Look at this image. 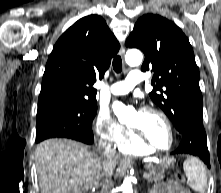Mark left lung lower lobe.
<instances>
[{
    "mask_svg": "<svg viewBox=\"0 0 221 193\" xmlns=\"http://www.w3.org/2000/svg\"><path fill=\"white\" fill-rule=\"evenodd\" d=\"M181 134L182 140L176 149V153L196 156L210 167L202 110L194 112V120L189 124L188 129L184 130Z\"/></svg>",
    "mask_w": 221,
    "mask_h": 193,
    "instance_id": "1",
    "label": "left lung lower lobe"
}]
</instances>
